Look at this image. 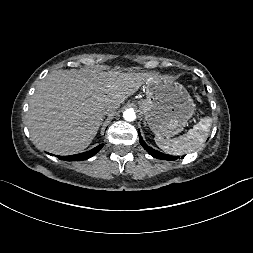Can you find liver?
<instances>
[{
  "label": "liver",
  "mask_w": 253,
  "mask_h": 253,
  "mask_svg": "<svg viewBox=\"0 0 253 253\" xmlns=\"http://www.w3.org/2000/svg\"><path fill=\"white\" fill-rule=\"evenodd\" d=\"M143 72L56 70L32 96L27 124L33 142L57 155L82 152L102 124L104 109L121 103L147 80Z\"/></svg>",
  "instance_id": "obj_1"
}]
</instances>
